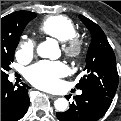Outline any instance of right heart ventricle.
Here are the masks:
<instances>
[{
  "mask_svg": "<svg viewBox=\"0 0 121 121\" xmlns=\"http://www.w3.org/2000/svg\"><path fill=\"white\" fill-rule=\"evenodd\" d=\"M39 31L64 43L78 35L76 24L65 16H50L39 25Z\"/></svg>",
  "mask_w": 121,
  "mask_h": 121,
  "instance_id": "1",
  "label": "right heart ventricle"
}]
</instances>
